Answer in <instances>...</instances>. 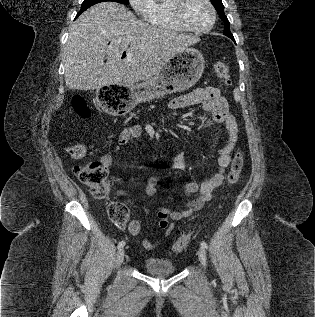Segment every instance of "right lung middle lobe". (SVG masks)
Wrapping results in <instances>:
<instances>
[{"mask_svg":"<svg viewBox=\"0 0 315 317\" xmlns=\"http://www.w3.org/2000/svg\"><path fill=\"white\" fill-rule=\"evenodd\" d=\"M106 1L117 2V3H121V4H125V5L129 4V0H84L82 5H81V10L78 13V15L81 14L82 12H84L89 7H91L97 3L106 2Z\"/></svg>","mask_w":315,"mask_h":317,"instance_id":"dd1d6c3e","label":"right lung middle lobe"}]
</instances>
